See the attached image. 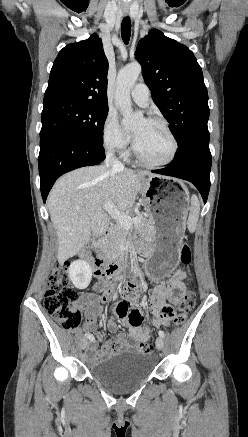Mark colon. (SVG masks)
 <instances>
[{
	"label": "colon",
	"instance_id": "obj_1",
	"mask_svg": "<svg viewBox=\"0 0 248 437\" xmlns=\"http://www.w3.org/2000/svg\"><path fill=\"white\" fill-rule=\"evenodd\" d=\"M180 260L185 265L191 263L192 252L187 244L182 245L180 249ZM44 297L45 308L55 321L67 329L78 326L82 317L81 304L77 292L71 285L67 264L54 267ZM195 303L196 294L192 291L187 292L178 304L179 313L173 318L174 325L179 326L186 321ZM139 350L142 353H150L153 351V345L143 342L139 345Z\"/></svg>",
	"mask_w": 248,
	"mask_h": 437
}]
</instances>
